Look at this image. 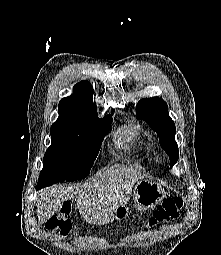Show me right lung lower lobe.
Returning a JSON list of instances; mask_svg holds the SVG:
<instances>
[{
	"instance_id": "obj_1",
	"label": "right lung lower lobe",
	"mask_w": 221,
	"mask_h": 255,
	"mask_svg": "<svg viewBox=\"0 0 221 255\" xmlns=\"http://www.w3.org/2000/svg\"><path fill=\"white\" fill-rule=\"evenodd\" d=\"M46 187L45 185H40V184H37V187H36V190H40L42 188Z\"/></svg>"
}]
</instances>
